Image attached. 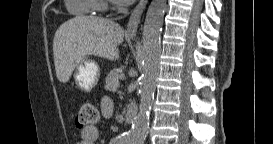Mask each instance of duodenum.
<instances>
[{"label": "duodenum", "mask_w": 273, "mask_h": 144, "mask_svg": "<svg viewBox=\"0 0 273 144\" xmlns=\"http://www.w3.org/2000/svg\"><path fill=\"white\" fill-rule=\"evenodd\" d=\"M138 110L137 107L133 106V105H128L125 108V120L128 123H132L136 116H137Z\"/></svg>", "instance_id": "duodenum-1"}]
</instances>
